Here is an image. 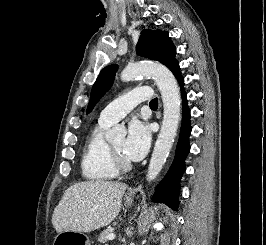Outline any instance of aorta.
I'll use <instances>...</instances> for the list:
<instances>
[{
  "label": "aorta",
  "instance_id": "aorta-1",
  "mask_svg": "<svg viewBox=\"0 0 266 245\" xmlns=\"http://www.w3.org/2000/svg\"><path fill=\"white\" fill-rule=\"evenodd\" d=\"M148 74L154 78L163 100V120L159 137L155 143L154 151L150 159L146 181H154L173 147L174 139L177 135L179 120L181 116V98L178 82L171 70L159 64V62H151L149 66L143 68L141 64H128L121 72V78L124 82L134 80L136 76ZM126 129L124 125H115L108 133L107 139H115V137H125Z\"/></svg>",
  "mask_w": 266,
  "mask_h": 245
}]
</instances>
